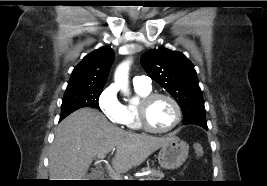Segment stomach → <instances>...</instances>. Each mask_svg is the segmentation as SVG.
Segmentation results:
<instances>
[{"instance_id":"stomach-1","label":"stomach","mask_w":267,"mask_h":186,"mask_svg":"<svg viewBox=\"0 0 267 186\" xmlns=\"http://www.w3.org/2000/svg\"><path fill=\"white\" fill-rule=\"evenodd\" d=\"M189 145L178 137L171 135V139L159 151L158 161L164 169L180 167L188 157Z\"/></svg>"}]
</instances>
